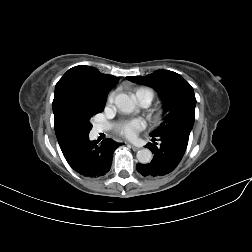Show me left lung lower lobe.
I'll use <instances>...</instances> for the list:
<instances>
[{
  "instance_id": "0a47b994",
  "label": "left lung lower lobe",
  "mask_w": 252,
  "mask_h": 252,
  "mask_svg": "<svg viewBox=\"0 0 252 252\" xmlns=\"http://www.w3.org/2000/svg\"><path fill=\"white\" fill-rule=\"evenodd\" d=\"M190 131L177 129L157 136L153 143H148L149 148L154 154L150 163L136 165L137 171L147 177L164 176L172 172L182 160L186 151Z\"/></svg>"
}]
</instances>
